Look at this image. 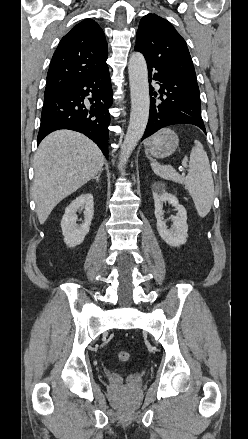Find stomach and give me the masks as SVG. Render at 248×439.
Masks as SVG:
<instances>
[{"mask_svg":"<svg viewBox=\"0 0 248 439\" xmlns=\"http://www.w3.org/2000/svg\"><path fill=\"white\" fill-rule=\"evenodd\" d=\"M179 144L178 135L165 128L150 137L146 143V151L155 158H165L175 152Z\"/></svg>","mask_w":248,"mask_h":439,"instance_id":"obj_1","label":"stomach"}]
</instances>
